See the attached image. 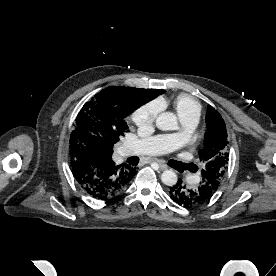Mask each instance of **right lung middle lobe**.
<instances>
[{"instance_id":"right-lung-middle-lobe-1","label":"right lung middle lobe","mask_w":276,"mask_h":276,"mask_svg":"<svg viewBox=\"0 0 276 276\" xmlns=\"http://www.w3.org/2000/svg\"><path fill=\"white\" fill-rule=\"evenodd\" d=\"M151 95L144 89L122 92L106 88L86 102L77 115L70 138V157L91 152L101 157L127 132L125 117Z\"/></svg>"}]
</instances>
